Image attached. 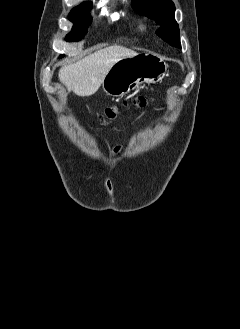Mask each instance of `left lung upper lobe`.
<instances>
[{
	"mask_svg": "<svg viewBox=\"0 0 240 329\" xmlns=\"http://www.w3.org/2000/svg\"><path fill=\"white\" fill-rule=\"evenodd\" d=\"M133 9L139 14L145 15L160 28L156 34L174 47H181L179 39V27L175 21V5L170 0H132Z\"/></svg>",
	"mask_w": 240,
	"mask_h": 329,
	"instance_id": "obj_1",
	"label": "left lung upper lobe"
}]
</instances>
